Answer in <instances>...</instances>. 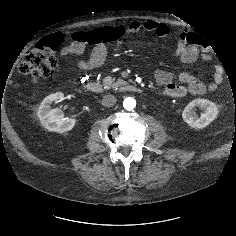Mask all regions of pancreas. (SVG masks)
<instances>
[{
    "mask_svg": "<svg viewBox=\"0 0 236 236\" xmlns=\"http://www.w3.org/2000/svg\"><path fill=\"white\" fill-rule=\"evenodd\" d=\"M125 84H126V81H124L122 79H118L115 82V79L110 77V76H107V77H105L103 79V85L107 89H109V88H117V87L125 85Z\"/></svg>",
    "mask_w": 236,
    "mask_h": 236,
    "instance_id": "1",
    "label": "pancreas"
}]
</instances>
